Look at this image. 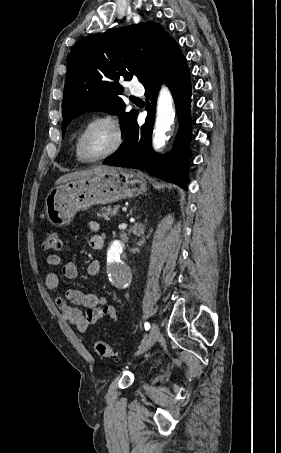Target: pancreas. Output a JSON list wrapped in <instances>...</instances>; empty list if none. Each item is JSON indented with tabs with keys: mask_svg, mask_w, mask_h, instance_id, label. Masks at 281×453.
I'll return each mask as SVG.
<instances>
[{
	"mask_svg": "<svg viewBox=\"0 0 281 453\" xmlns=\"http://www.w3.org/2000/svg\"><path fill=\"white\" fill-rule=\"evenodd\" d=\"M120 208V204H117V206H114V208H111V206H102V208H99L100 212H97V216H103V218H106V220H110L109 216H114V214H118V210Z\"/></svg>",
	"mask_w": 281,
	"mask_h": 453,
	"instance_id": "1",
	"label": "pancreas"
}]
</instances>
